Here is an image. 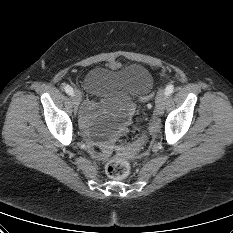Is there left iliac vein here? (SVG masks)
I'll list each match as a JSON object with an SVG mask.
<instances>
[{"mask_svg": "<svg viewBox=\"0 0 233 233\" xmlns=\"http://www.w3.org/2000/svg\"><path fill=\"white\" fill-rule=\"evenodd\" d=\"M165 101H166L165 91L163 89H160L155 99V107H156V112L158 115L163 114L164 107H165Z\"/></svg>", "mask_w": 233, "mask_h": 233, "instance_id": "obj_1", "label": "left iliac vein"}]
</instances>
